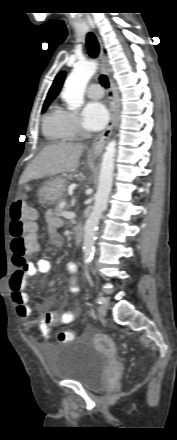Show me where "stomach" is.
Segmentation results:
<instances>
[{"label":"stomach","mask_w":177,"mask_h":440,"mask_svg":"<svg viewBox=\"0 0 177 440\" xmlns=\"http://www.w3.org/2000/svg\"><path fill=\"white\" fill-rule=\"evenodd\" d=\"M66 187V179L63 176H57L46 181L39 189L37 197L42 205H53L57 203Z\"/></svg>","instance_id":"0dacf381"}]
</instances>
